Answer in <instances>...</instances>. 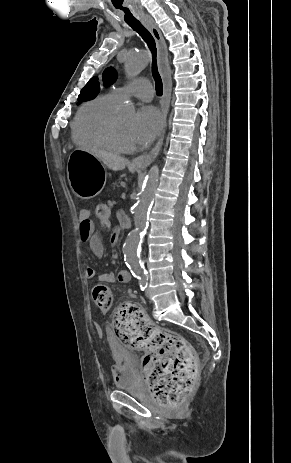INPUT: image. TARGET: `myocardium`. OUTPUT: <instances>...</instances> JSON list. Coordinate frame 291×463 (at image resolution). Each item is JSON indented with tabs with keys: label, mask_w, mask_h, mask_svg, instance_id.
I'll use <instances>...</instances> for the list:
<instances>
[{
	"label": "myocardium",
	"mask_w": 291,
	"mask_h": 463,
	"mask_svg": "<svg viewBox=\"0 0 291 463\" xmlns=\"http://www.w3.org/2000/svg\"><path fill=\"white\" fill-rule=\"evenodd\" d=\"M105 134L113 150L120 153H131L135 151L134 146H126L121 142L115 118H112L107 124Z\"/></svg>",
	"instance_id": "1"
}]
</instances>
